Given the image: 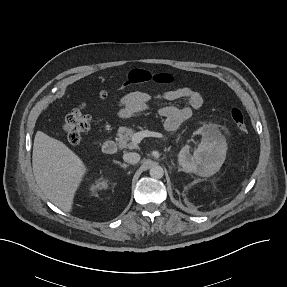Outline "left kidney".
I'll list each match as a JSON object with an SVG mask.
<instances>
[{"label":"left kidney","instance_id":"1","mask_svg":"<svg viewBox=\"0 0 287 287\" xmlns=\"http://www.w3.org/2000/svg\"><path fill=\"white\" fill-rule=\"evenodd\" d=\"M201 143L190 154V146L185 145L179 155L180 165L186 172L209 177L219 171L226 158L227 144L225 138L214 126H204L199 130Z\"/></svg>","mask_w":287,"mask_h":287}]
</instances>
